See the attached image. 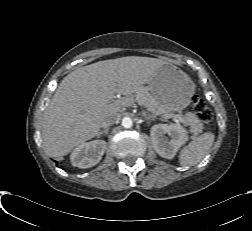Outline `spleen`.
<instances>
[{"instance_id":"1","label":"spleen","mask_w":252,"mask_h":231,"mask_svg":"<svg viewBox=\"0 0 252 231\" xmlns=\"http://www.w3.org/2000/svg\"><path fill=\"white\" fill-rule=\"evenodd\" d=\"M215 139V135L206 132L194 138L188 145L183 147L179 154L181 166H193L199 163L208 153Z\"/></svg>"}]
</instances>
